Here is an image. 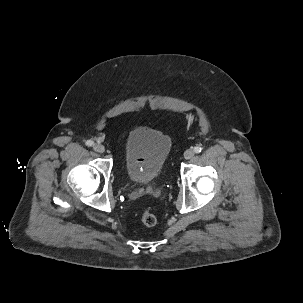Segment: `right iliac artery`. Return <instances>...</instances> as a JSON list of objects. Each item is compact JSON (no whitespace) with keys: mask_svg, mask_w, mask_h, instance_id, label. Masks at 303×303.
<instances>
[{"mask_svg":"<svg viewBox=\"0 0 303 303\" xmlns=\"http://www.w3.org/2000/svg\"><path fill=\"white\" fill-rule=\"evenodd\" d=\"M93 144H94V142L92 140H87L86 141L87 146H92Z\"/></svg>","mask_w":303,"mask_h":303,"instance_id":"82829eb1","label":"right iliac artery"}]
</instances>
